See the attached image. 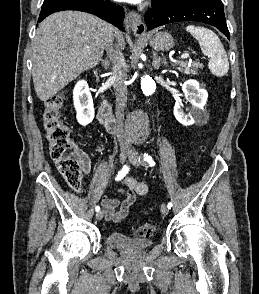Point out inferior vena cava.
Returning <instances> with one entry per match:
<instances>
[{"label": "inferior vena cava", "mask_w": 259, "mask_h": 294, "mask_svg": "<svg viewBox=\"0 0 259 294\" xmlns=\"http://www.w3.org/2000/svg\"><path fill=\"white\" fill-rule=\"evenodd\" d=\"M113 40L106 45L109 58L113 61L114 90L116 97V118L118 122V140L121 144L128 145L129 140L124 136L122 124L124 120V109L127 102V74L125 71L126 62L118 44L113 47Z\"/></svg>", "instance_id": "obj_1"}]
</instances>
